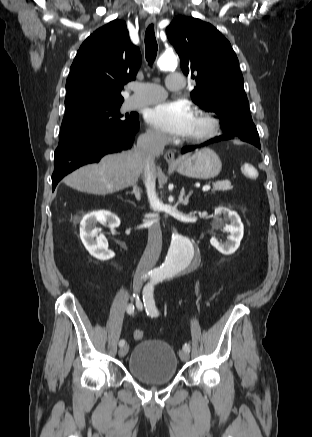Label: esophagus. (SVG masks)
<instances>
[{"instance_id":"1","label":"esophagus","mask_w":312,"mask_h":437,"mask_svg":"<svg viewBox=\"0 0 312 437\" xmlns=\"http://www.w3.org/2000/svg\"><path fill=\"white\" fill-rule=\"evenodd\" d=\"M156 23V17L155 15H150L148 17V19L146 20V25L149 26L151 24H155ZM164 158L166 160V162L168 164H175L177 162L176 158H175V154L173 151L168 150L165 152L164 154Z\"/></svg>"}]
</instances>
